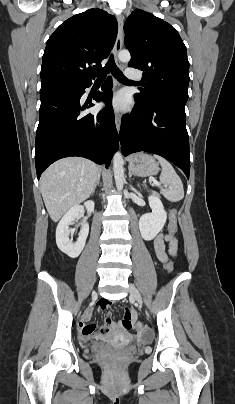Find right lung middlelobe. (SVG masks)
<instances>
[{
	"label": "right lung middle lobe",
	"mask_w": 235,
	"mask_h": 404,
	"mask_svg": "<svg viewBox=\"0 0 235 404\" xmlns=\"http://www.w3.org/2000/svg\"><path fill=\"white\" fill-rule=\"evenodd\" d=\"M67 83H62V82H53V83H48L41 85V91L40 94L49 92V91H54L57 89H61L66 86Z\"/></svg>",
	"instance_id": "1"
}]
</instances>
